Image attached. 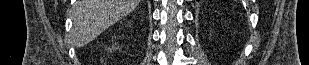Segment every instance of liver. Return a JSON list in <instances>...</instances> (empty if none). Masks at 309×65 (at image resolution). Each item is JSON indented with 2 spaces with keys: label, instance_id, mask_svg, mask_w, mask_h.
I'll return each mask as SVG.
<instances>
[{
  "label": "liver",
  "instance_id": "obj_1",
  "mask_svg": "<svg viewBox=\"0 0 309 65\" xmlns=\"http://www.w3.org/2000/svg\"><path fill=\"white\" fill-rule=\"evenodd\" d=\"M140 0H77L73 10L72 40L83 47L127 16Z\"/></svg>",
  "mask_w": 309,
  "mask_h": 65
}]
</instances>
